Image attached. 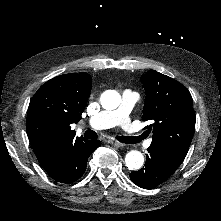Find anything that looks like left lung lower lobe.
I'll return each mask as SVG.
<instances>
[{
	"mask_svg": "<svg viewBox=\"0 0 221 221\" xmlns=\"http://www.w3.org/2000/svg\"><path fill=\"white\" fill-rule=\"evenodd\" d=\"M148 152L145 167L132 172L130 178L141 188L153 189L166 181L179 166L172 164L158 149L149 147Z\"/></svg>",
	"mask_w": 221,
	"mask_h": 221,
	"instance_id": "1",
	"label": "left lung lower lobe"
}]
</instances>
